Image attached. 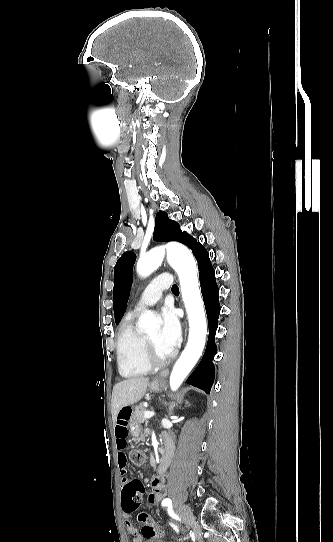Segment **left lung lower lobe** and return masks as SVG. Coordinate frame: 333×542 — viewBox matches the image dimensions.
Masks as SVG:
<instances>
[{
  "instance_id": "1",
  "label": "left lung lower lobe",
  "mask_w": 333,
  "mask_h": 542,
  "mask_svg": "<svg viewBox=\"0 0 333 542\" xmlns=\"http://www.w3.org/2000/svg\"><path fill=\"white\" fill-rule=\"evenodd\" d=\"M194 256L198 261V268L200 271L201 291L209 324V338L204 356L197 368L187 379V383L202 389L206 393H210L214 380V365L212 359L217 351L214 343V336L218 327V316L220 313L218 301L219 289L216 284L215 271L211 265L209 254L206 249L201 245Z\"/></svg>"
}]
</instances>
